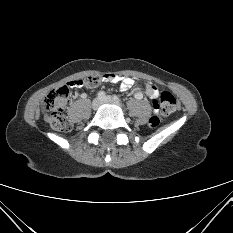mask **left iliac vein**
<instances>
[{"instance_id":"1","label":"left iliac vein","mask_w":233,"mask_h":233,"mask_svg":"<svg viewBox=\"0 0 233 233\" xmlns=\"http://www.w3.org/2000/svg\"><path fill=\"white\" fill-rule=\"evenodd\" d=\"M104 103H115L117 104L110 96H106L102 99Z\"/></svg>"}]
</instances>
